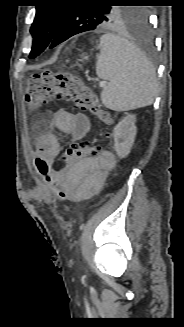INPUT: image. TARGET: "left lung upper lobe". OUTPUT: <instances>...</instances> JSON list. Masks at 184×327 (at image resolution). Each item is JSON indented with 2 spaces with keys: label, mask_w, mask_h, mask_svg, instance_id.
Segmentation results:
<instances>
[{
  "label": "left lung upper lobe",
  "mask_w": 184,
  "mask_h": 327,
  "mask_svg": "<svg viewBox=\"0 0 184 327\" xmlns=\"http://www.w3.org/2000/svg\"><path fill=\"white\" fill-rule=\"evenodd\" d=\"M80 0H69L60 4L58 0H47L36 6V15L30 32L33 46L29 58H36L51 43L58 29L78 33L95 30L101 26H137L147 18L146 12L136 6H112V3H133V0H102L96 5H83Z\"/></svg>",
  "instance_id": "5c2ea615"
}]
</instances>
